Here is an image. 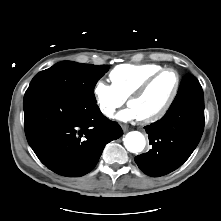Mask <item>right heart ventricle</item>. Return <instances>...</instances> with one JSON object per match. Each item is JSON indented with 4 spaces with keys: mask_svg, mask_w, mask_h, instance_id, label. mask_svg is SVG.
Wrapping results in <instances>:
<instances>
[{
    "mask_svg": "<svg viewBox=\"0 0 221 221\" xmlns=\"http://www.w3.org/2000/svg\"><path fill=\"white\" fill-rule=\"evenodd\" d=\"M163 67L158 64H122L109 74L112 86L123 97L127 98L150 75Z\"/></svg>",
    "mask_w": 221,
    "mask_h": 221,
    "instance_id": "right-heart-ventricle-1",
    "label": "right heart ventricle"
}]
</instances>
